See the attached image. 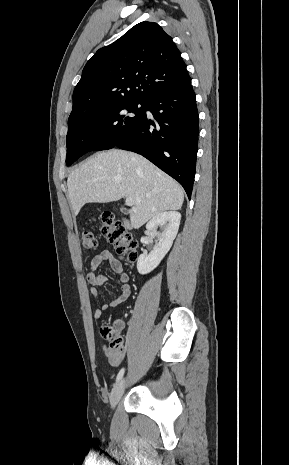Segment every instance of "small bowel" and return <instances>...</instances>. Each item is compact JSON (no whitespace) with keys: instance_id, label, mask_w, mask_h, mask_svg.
Instances as JSON below:
<instances>
[{"instance_id":"c3829d8e","label":"small bowel","mask_w":289,"mask_h":465,"mask_svg":"<svg viewBox=\"0 0 289 465\" xmlns=\"http://www.w3.org/2000/svg\"><path fill=\"white\" fill-rule=\"evenodd\" d=\"M109 262L112 270L119 274V281L121 283L120 292L118 296L108 302L100 304L94 312V318L100 319L102 316L103 311L108 310L110 308H115L119 304L126 301L130 295L131 287L129 284L130 276L128 273L124 272V268L122 263L116 259L109 250H102L98 254H96L90 261V271L88 272L86 278L90 285V293L94 297H98V288L103 285L106 280V274L104 272H98V267L103 262ZM117 331L123 329L124 323L122 321H117L115 323ZM103 353L105 357L108 359V362L111 366L117 367L122 361V353L118 357L113 356V352L110 347L103 346Z\"/></svg>"}]
</instances>
